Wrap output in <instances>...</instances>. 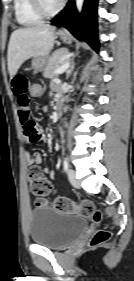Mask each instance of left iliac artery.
<instances>
[{
	"mask_svg": "<svg viewBox=\"0 0 134 281\" xmlns=\"http://www.w3.org/2000/svg\"><path fill=\"white\" fill-rule=\"evenodd\" d=\"M63 168H64V171H67V170H68V161H67V158H65L64 161H63Z\"/></svg>",
	"mask_w": 134,
	"mask_h": 281,
	"instance_id": "left-iliac-artery-1",
	"label": "left iliac artery"
}]
</instances>
